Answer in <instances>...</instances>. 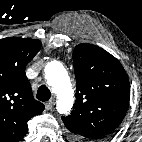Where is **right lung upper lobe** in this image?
Returning <instances> with one entry per match:
<instances>
[{"label":"right lung upper lobe","mask_w":142,"mask_h":142,"mask_svg":"<svg viewBox=\"0 0 142 142\" xmlns=\"http://www.w3.org/2000/svg\"><path fill=\"white\" fill-rule=\"evenodd\" d=\"M36 39L0 40V142H18L27 134L28 120L44 105L35 100L25 75V66L38 53Z\"/></svg>","instance_id":"1"}]
</instances>
